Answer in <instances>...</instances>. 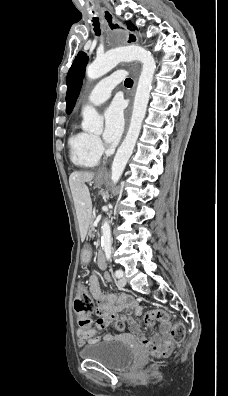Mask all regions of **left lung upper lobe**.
Instances as JSON below:
<instances>
[{"mask_svg":"<svg viewBox=\"0 0 228 396\" xmlns=\"http://www.w3.org/2000/svg\"><path fill=\"white\" fill-rule=\"evenodd\" d=\"M134 26L132 24H128V29L132 30ZM130 41H132V36H130ZM88 61V56L84 52H79L75 57V60L72 66L69 69L67 74V94H66V113L70 114L72 109L75 106L76 100L78 98L82 80L85 74V66Z\"/></svg>","mask_w":228,"mask_h":396,"instance_id":"1","label":"left lung upper lobe"}]
</instances>
